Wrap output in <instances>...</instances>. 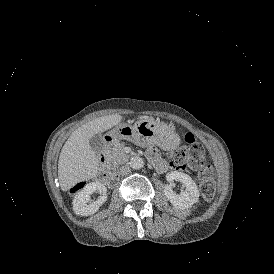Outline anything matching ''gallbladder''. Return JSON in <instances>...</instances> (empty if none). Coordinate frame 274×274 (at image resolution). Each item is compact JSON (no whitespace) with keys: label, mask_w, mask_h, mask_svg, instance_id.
Masks as SVG:
<instances>
[{"label":"gallbladder","mask_w":274,"mask_h":274,"mask_svg":"<svg viewBox=\"0 0 274 274\" xmlns=\"http://www.w3.org/2000/svg\"><path fill=\"white\" fill-rule=\"evenodd\" d=\"M89 144L95 153L102 152L103 151V136L100 133L94 135L90 139Z\"/></svg>","instance_id":"obj_1"}]
</instances>
